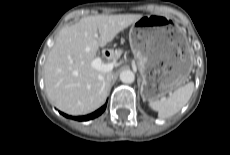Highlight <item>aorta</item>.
I'll list each match as a JSON object with an SVG mask.
<instances>
[{
    "label": "aorta",
    "instance_id": "obj_1",
    "mask_svg": "<svg viewBox=\"0 0 230 155\" xmlns=\"http://www.w3.org/2000/svg\"><path fill=\"white\" fill-rule=\"evenodd\" d=\"M120 80L123 83H128V84L133 83L135 80V74L133 71H131L129 69L123 70L120 73Z\"/></svg>",
    "mask_w": 230,
    "mask_h": 155
}]
</instances>
